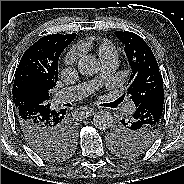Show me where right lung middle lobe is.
<instances>
[{
    "label": "right lung middle lobe",
    "instance_id": "dd1d6c3e",
    "mask_svg": "<svg viewBox=\"0 0 184 184\" xmlns=\"http://www.w3.org/2000/svg\"><path fill=\"white\" fill-rule=\"evenodd\" d=\"M76 142V130L71 127L67 131H65V136L63 141L51 147L47 150H43L38 152V154L45 160L49 161H60L68 158L75 147Z\"/></svg>",
    "mask_w": 184,
    "mask_h": 184
}]
</instances>
